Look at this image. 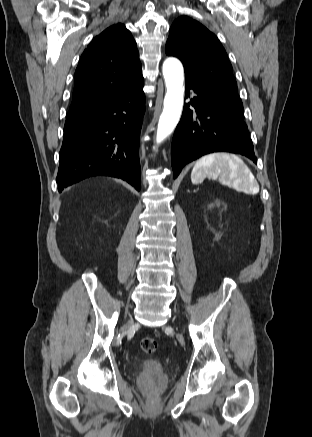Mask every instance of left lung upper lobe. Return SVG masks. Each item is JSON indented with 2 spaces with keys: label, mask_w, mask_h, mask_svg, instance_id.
Wrapping results in <instances>:
<instances>
[{
  "label": "left lung upper lobe",
  "mask_w": 312,
  "mask_h": 437,
  "mask_svg": "<svg viewBox=\"0 0 312 437\" xmlns=\"http://www.w3.org/2000/svg\"><path fill=\"white\" fill-rule=\"evenodd\" d=\"M166 54L182 61L186 80L223 98L244 116L226 51L217 37L202 24L187 16L176 19L170 28Z\"/></svg>",
  "instance_id": "obj_1"
}]
</instances>
